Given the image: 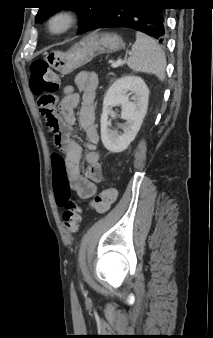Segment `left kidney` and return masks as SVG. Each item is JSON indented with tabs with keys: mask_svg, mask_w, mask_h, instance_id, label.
Listing matches in <instances>:
<instances>
[{
	"mask_svg": "<svg viewBox=\"0 0 213 338\" xmlns=\"http://www.w3.org/2000/svg\"><path fill=\"white\" fill-rule=\"evenodd\" d=\"M130 93L134 94L131 98ZM148 100L149 90L141 77L123 76L109 87L104 97L100 119L101 140L108 151L122 152L135 139L147 113ZM116 104L122 106L121 118L126 121L123 125L124 133L120 135L109 128L108 121L109 107Z\"/></svg>",
	"mask_w": 213,
	"mask_h": 338,
	"instance_id": "1",
	"label": "left kidney"
}]
</instances>
